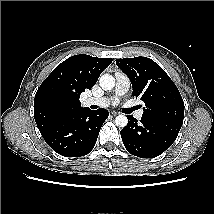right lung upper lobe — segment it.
I'll list each match as a JSON object with an SVG mask.
<instances>
[{
    "instance_id": "right-lung-upper-lobe-1",
    "label": "right lung upper lobe",
    "mask_w": 214,
    "mask_h": 214,
    "mask_svg": "<svg viewBox=\"0 0 214 214\" xmlns=\"http://www.w3.org/2000/svg\"><path fill=\"white\" fill-rule=\"evenodd\" d=\"M111 58L74 55L60 63L42 82L34 99V118L41 134L66 116L85 109L80 94L91 89Z\"/></svg>"
}]
</instances>
